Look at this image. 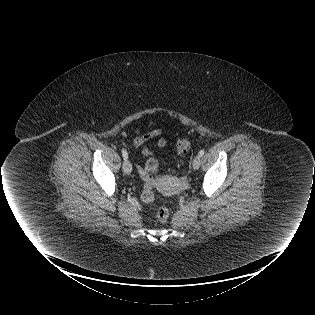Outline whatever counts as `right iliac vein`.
I'll return each mask as SVG.
<instances>
[{"instance_id": "63e3f726", "label": "right iliac vein", "mask_w": 315, "mask_h": 315, "mask_svg": "<svg viewBox=\"0 0 315 315\" xmlns=\"http://www.w3.org/2000/svg\"><path fill=\"white\" fill-rule=\"evenodd\" d=\"M123 171L127 175H129L132 172V166L128 160H124L123 162Z\"/></svg>"}]
</instances>
